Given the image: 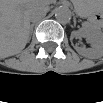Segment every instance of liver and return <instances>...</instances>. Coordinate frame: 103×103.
Here are the masks:
<instances>
[{"instance_id":"liver-1","label":"liver","mask_w":103,"mask_h":103,"mask_svg":"<svg viewBox=\"0 0 103 103\" xmlns=\"http://www.w3.org/2000/svg\"><path fill=\"white\" fill-rule=\"evenodd\" d=\"M47 3L36 0L1 2V55L8 57L22 51L30 39V12L47 9Z\"/></svg>"}]
</instances>
